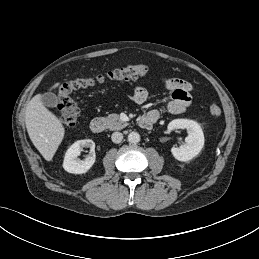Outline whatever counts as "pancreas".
Instances as JSON below:
<instances>
[{"label": "pancreas", "mask_w": 259, "mask_h": 259, "mask_svg": "<svg viewBox=\"0 0 259 259\" xmlns=\"http://www.w3.org/2000/svg\"><path fill=\"white\" fill-rule=\"evenodd\" d=\"M107 128L110 130H121L125 128L128 123L122 121L118 114H110L105 118Z\"/></svg>", "instance_id": "pancreas-1"}]
</instances>
